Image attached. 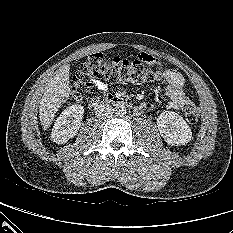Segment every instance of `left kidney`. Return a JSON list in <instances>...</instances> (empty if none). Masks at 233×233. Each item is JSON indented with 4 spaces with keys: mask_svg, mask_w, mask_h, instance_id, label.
<instances>
[{
    "mask_svg": "<svg viewBox=\"0 0 233 233\" xmlns=\"http://www.w3.org/2000/svg\"><path fill=\"white\" fill-rule=\"evenodd\" d=\"M158 130L164 140L172 146L187 144L192 138V131L179 114L164 111L157 118Z\"/></svg>",
    "mask_w": 233,
    "mask_h": 233,
    "instance_id": "1",
    "label": "left kidney"
}]
</instances>
